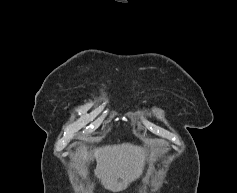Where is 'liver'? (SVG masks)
Instances as JSON below:
<instances>
[{
    "label": "liver",
    "mask_w": 237,
    "mask_h": 193,
    "mask_svg": "<svg viewBox=\"0 0 237 193\" xmlns=\"http://www.w3.org/2000/svg\"><path fill=\"white\" fill-rule=\"evenodd\" d=\"M148 155L149 152L140 146L123 143L96 148L90 152H87L85 147L80 148L72 158L79 164V173L83 177L87 173L86 163L95 158L97 161L95 176L101 180L106 189L119 192L142 175ZM150 156L152 157L153 153Z\"/></svg>",
    "instance_id": "obj_1"
}]
</instances>
